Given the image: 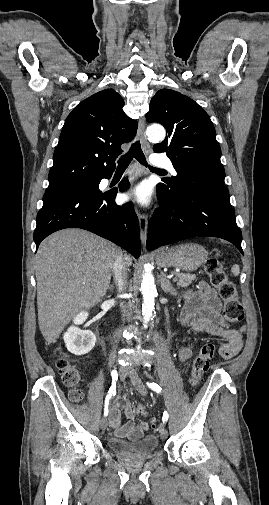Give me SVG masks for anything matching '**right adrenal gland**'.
Instances as JSON below:
<instances>
[{
	"mask_svg": "<svg viewBox=\"0 0 269 505\" xmlns=\"http://www.w3.org/2000/svg\"><path fill=\"white\" fill-rule=\"evenodd\" d=\"M109 289H110V290H111V289H113V286H111Z\"/></svg>",
	"mask_w": 269,
	"mask_h": 505,
	"instance_id": "right-adrenal-gland-1",
	"label": "right adrenal gland"
}]
</instances>
